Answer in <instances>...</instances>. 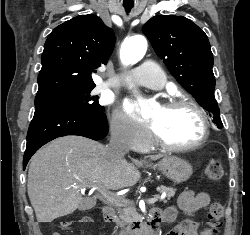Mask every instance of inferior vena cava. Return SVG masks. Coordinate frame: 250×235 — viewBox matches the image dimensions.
<instances>
[{
	"mask_svg": "<svg viewBox=\"0 0 250 235\" xmlns=\"http://www.w3.org/2000/svg\"><path fill=\"white\" fill-rule=\"evenodd\" d=\"M129 152L128 141L125 133V127L117 124L111 130V139L106 146V157L109 160H118ZM126 230H122L120 235H126Z\"/></svg>",
	"mask_w": 250,
	"mask_h": 235,
	"instance_id": "602c4592",
	"label": "inferior vena cava"
}]
</instances>
